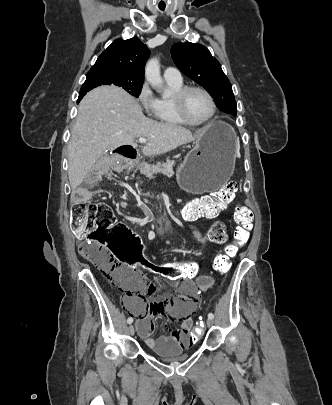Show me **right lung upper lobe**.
I'll list each match as a JSON object with an SVG mask.
<instances>
[{
  "label": "right lung upper lobe",
  "instance_id": "1",
  "mask_svg": "<svg viewBox=\"0 0 332 405\" xmlns=\"http://www.w3.org/2000/svg\"><path fill=\"white\" fill-rule=\"evenodd\" d=\"M150 51L137 37L116 39L98 57L88 73L112 71L144 80V66Z\"/></svg>",
  "mask_w": 332,
  "mask_h": 405
}]
</instances>
